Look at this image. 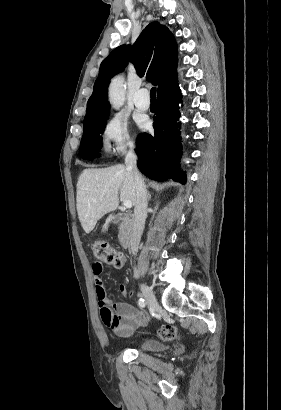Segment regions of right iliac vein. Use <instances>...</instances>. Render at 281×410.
Listing matches in <instances>:
<instances>
[{
  "instance_id": "1",
  "label": "right iliac vein",
  "mask_w": 281,
  "mask_h": 410,
  "mask_svg": "<svg viewBox=\"0 0 281 410\" xmlns=\"http://www.w3.org/2000/svg\"><path fill=\"white\" fill-rule=\"evenodd\" d=\"M140 287H141L142 294L144 298L146 299L147 303L152 309H154L158 305V303H157L156 297L152 289L145 284H141Z\"/></svg>"
}]
</instances>
